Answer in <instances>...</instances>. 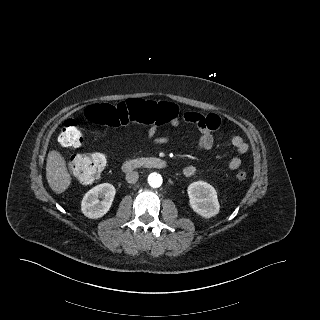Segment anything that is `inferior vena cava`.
Returning a JSON list of instances; mask_svg holds the SVG:
<instances>
[{
    "label": "inferior vena cava",
    "instance_id": "inferior-vena-cava-1",
    "mask_svg": "<svg viewBox=\"0 0 320 320\" xmlns=\"http://www.w3.org/2000/svg\"><path fill=\"white\" fill-rule=\"evenodd\" d=\"M138 178H139V174L136 171H129L126 174V181L128 183H131V184L136 183Z\"/></svg>",
    "mask_w": 320,
    "mask_h": 320
}]
</instances>
